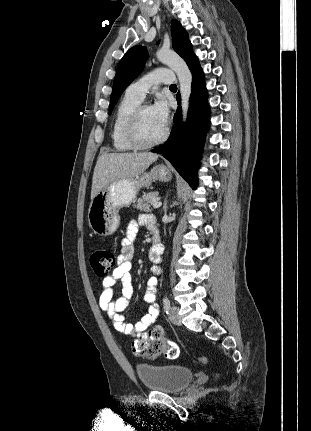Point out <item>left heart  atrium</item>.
I'll use <instances>...</instances> for the list:
<instances>
[{
	"label": "left heart atrium",
	"mask_w": 311,
	"mask_h": 431,
	"mask_svg": "<svg viewBox=\"0 0 311 431\" xmlns=\"http://www.w3.org/2000/svg\"><path fill=\"white\" fill-rule=\"evenodd\" d=\"M151 110L155 119L162 127L165 128L170 116V106L168 100L161 95L157 96L153 105L151 106Z\"/></svg>",
	"instance_id": "left-heart-atrium-1"
}]
</instances>
